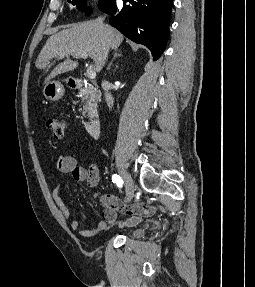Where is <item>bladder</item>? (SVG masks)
I'll return each instance as SVG.
<instances>
[{
  "mask_svg": "<svg viewBox=\"0 0 255 287\" xmlns=\"http://www.w3.org/2000/svg\"><path fill=\"white\" fill-rule=\"evenodd\" d=\"M129 234L133 237H139L143 234V229L133 228V229L129 230Z\"/></svg>",
  "mask_w": 255,
  "mask_h": 287,
  "instance_id": "31cf9c89",
  "label": "bladder"
}]
</instances>
